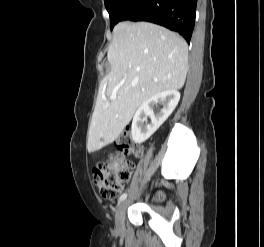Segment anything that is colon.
Listing matches in <instances>:
<instances>
[{
    "label": "colon",
    "mask_w": 264,
    "mask_h": 247,
    "mask_svg": "<svg viewBox=\"0 0 264 247\" xmlns=\"http://www.w3.org/2000/svg\"><path fill=\"white\" fill-rule=\"evenodd\" d=\"M139 155L141 149L129 132H122L115 141L114 152L107 159L97 162L92 169L93 180L103 199L115 201L118 198L134 167L131 157Z\"/></svg>",
    "instance_id": "5ec220e1"
}]
</instances>
